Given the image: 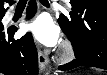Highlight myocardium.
Wrapping results in <instances>:
<instances>
[{"instance_id":"1","label":"myocardium","mask_w":107,"mask_h":75,"mask_svg":"<svg viewBox=\"0 0 107 75\" xmlns=\"http://www.w3.org/2000/svg\"><path fill=\"white\" fill-rule=\"evenodd\" d=\"M74 55L75 51L73 45L69 41L64 42L59 54L60 59L62 61H69L74 58Z\"/></svg>"}]
</instances>
